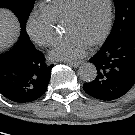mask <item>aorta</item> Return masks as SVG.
<instances>
[{
	"label": "aorta",
	"instance_id": "obj_1",
	"mask_svg": "<svg viewBox=\"0 0 135 135\" xmlns=\"http://www.w3.org/2000/svg\"><path fill=\"white\" fill-rule=\"evenodd\" d=\"M79 75L82 78V80L86 82H91L97 76L96 67L92 63H89V62L83 63L79 67Z\"/></svg>",
	"mask_w": 135,
	"mask_h": 135
}]
</instances>
